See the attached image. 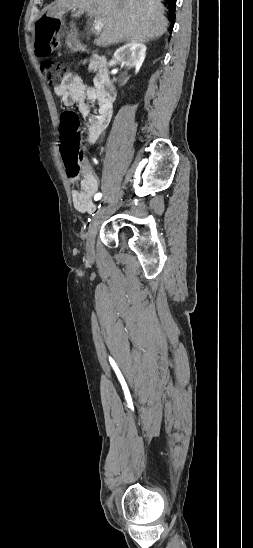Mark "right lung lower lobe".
Masks as SVG:
<instances>
[{
    "mask_svg": "<svg viewBox=\"0 0 253 548\" xmlns=\"http://www.w3.org/2000/svg\"><path fill=\"white\" fill-rule=\"evenodd\" d=\"M165 1L168 4V6L173 10L171 20H172V23L174 24V22H175V13L174 12H175L176 0H165Z\"/></svg>",
    "mask_w": 253,
    "mask_h": 548,
    "instance_id": "right-lung-lower-lobe-1",
    "label": "right lung lower lobe"
}]
</instances>
